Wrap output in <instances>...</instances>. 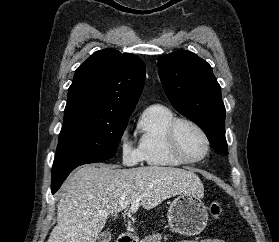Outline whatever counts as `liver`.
Returning <instances> with one entry per match:
<instances>
[{"mask_svg":"<svg viewBox=\"0 0 279 242\" xmlns=\"http://www.w3.org/2000/svg\"><path fill=\"white\" fill-rule=\"evenodd\" d=\"M180 194L203 197V184L194 172L160 166L84 165L57 194V225L47 242H95L108 216L118 217L136 198L141 197L142 207L149 210Z\"/></svg>","mask_w":279,"mask_h":242,"instance_id":"1","label":"liver"}]
</instances>
